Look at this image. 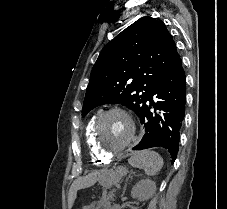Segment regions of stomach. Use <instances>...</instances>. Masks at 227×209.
I'll list each match as a JSON object with an SVG mask.
<instances>
[{"label": "stomach", "mask_w": 227, "mask_h": 209, "mask_svg": "<svg viewBox=\"0 0 227 209\" xmlns=\"http://www.w3.org/2000/svg\"><path fill=\"white\" fill-rule=\"evenodd\" d=\"M125 173L126 169L124 167H118L115 170H106L98 176V181L103 187L110 188L113 185H117Z\"/></svg>", "instance_id": "0dacf381"}]
</instances>
